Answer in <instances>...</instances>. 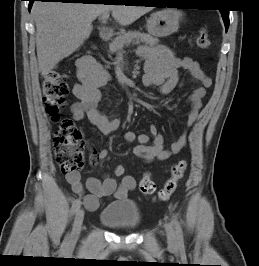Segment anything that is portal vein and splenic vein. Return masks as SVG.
<instances>
[{"mask_svg":"<svg viewBox=\"0 0 259 266\" xmlns=\"http://www.w3.org/2000/svg\"><path fill=\"white\" fill-rule=\"evenodd\" d=\"M108 17H109V14H108V13H104V14L100 17V19H101L103 22H106L107 19H108Z\"/></svg>","mask_w":259,"mask_h":266,"instance_id":"1","label":"portal vein and splenic vein"}]
</instances>
